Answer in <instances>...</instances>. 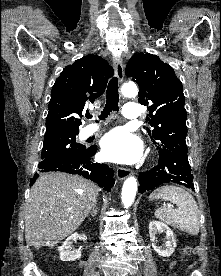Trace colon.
<instances>
[{
	"label": "colon",
	"instance_id": "obj_1",
	"mask_svg": "<svg viewBox=\"0 0 221 276\" xmlns=\"http://www.w3.org/2000/svg\"><path fill=\"white\" fill-rule=\"evenodd\" d=\"M183 254L186 255L189 253V248L185 247L183 250H182Z\"/></svg>",
	"mask_w": 221,
	"mask_h": 276
}]
</instances>
